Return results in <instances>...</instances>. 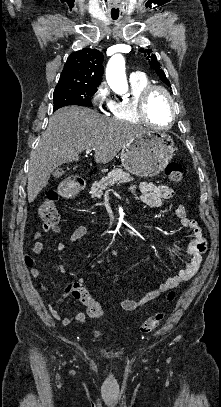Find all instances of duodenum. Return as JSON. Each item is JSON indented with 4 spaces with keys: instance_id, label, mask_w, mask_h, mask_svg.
<instances>
[{
    "instance_id": "duodenum-1",
    "label": "duodenum",
    "mask_w": 221,
    "mask_h": 407,
    "mask_svg": "<svg viewBox=\"0 0 221 407\" xmlns=\"http://www.w3.org/2000/svg\"><path fill=\"white\" fill-rule=\"evenodd\" d=\"M84 186H85L84 183H74V184H70V185H67V186L63 187V188L61 189V192H62V194H63L65 197L69 198L70 196H72V194H73L75 191H78V190L83 189Z\"/></svg>"
}]
</instances>
